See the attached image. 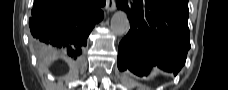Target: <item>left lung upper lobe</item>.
<instances>
[{"label": "left lung upper lobe", "instance_id": "left-lung-upper-lobe-1", "mask_svg": "<svg viewBox=\"0 0 228 90\" xmlns=\"http://www.w3.org/2000/svg\"><path fill=\"white\" fill-rule=\"evenodd\" d=\"M182 9L185 10V11H188V4L183 5V6H182Z\"/></svg>", "mask_w": 228, "mask_h": 90}]
</instances>
